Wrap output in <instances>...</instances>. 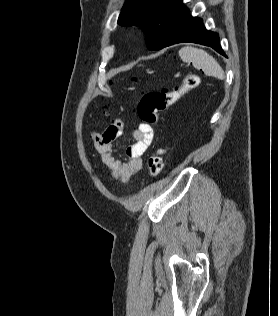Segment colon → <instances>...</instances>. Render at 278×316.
I'll use <instances>...</instances> for the list:
<instances>
[{
  "mask_svg": "<svg viewBox=\"0 0 278 316\" xmlns=\"http://www.w3.org/2000/svg\"><path fill=\"white\" fill-rule=\"evenodd\" d=\"M199 77L196 74H187L181 83L172 89H162L145 93L138 104L139 118L149 125L159 122V113L174 104L181 96L196 88ZM164 151L158 149L147 160L148 172L151 176H157L164 168Z\"/></svg>",
  "mask_w": 278,
  "mask_h": 316,
  "instance_id": "colon-1",
  "label": "colon"
}]
</instances>
